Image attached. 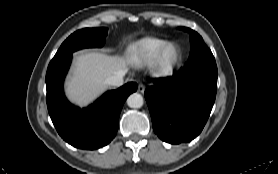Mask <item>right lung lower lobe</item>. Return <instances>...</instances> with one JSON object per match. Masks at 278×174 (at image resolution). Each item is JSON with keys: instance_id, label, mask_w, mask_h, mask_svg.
<instances>
[{"instance_id": "right-lung-lower-lobe-1", "label": "right lung lower lobe", "mask_w": 278, "mask_h": 174, "mask_svg": "<svg viewBox=\"0 0 278 174\" xmlns=\"http://www.w3.org/2000/svg\"><path fill=\"white\" fill-rule=\"evenodd\" d=\"M72 54L51 61L46 73L47 107L59 135L81 149H97L107 145L116 135L118 119L126 98L137 90L130 82L109 91L91 106L80 109L70 104L63 93V80Z\"/></svg>"}]
</instances>
